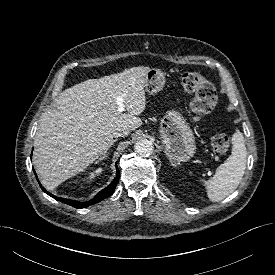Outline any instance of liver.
I'll return each mask as SVG.
<instances>
[{"label": "liver", "instance_id": "6515ba94", "mask_svg": "<svg viewBox=\"0 0 275 275\" xmlns=\"http://www.w3.org/2000/svg\"><path fill=\"white\" fill-rule=\"evenodd\" d=\"M149 67L90 79L61 92L55 108L40 118L34 138L33 163L41 183L53 190L84 171L110 148L114 133L134 131L146 107L145 79ZM123 96L128 113H119Z\"/></svg>", "mask_w": 275, "mask_h": 275}]
</instances>
